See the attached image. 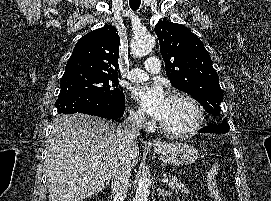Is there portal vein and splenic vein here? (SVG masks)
Listing matches in <instances>:
<instances>
[{
	"instance_id": "obj_1",
	"label": "portal vein and splenic vein",
	"mask_w": 271,
	"mask_h": 201,
	"mask_svg": "<svg viewBox=\"0 0 271 201\" xmlns=\"http://www.w3.org/2000/svg\"><path fill=\"white\" fill-rule=\"evenodd\" d=\"M161 181H162V183H167L169 180H168V178H163Z\"/></svg>"
}]
</instances>
